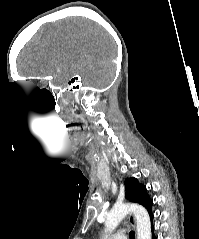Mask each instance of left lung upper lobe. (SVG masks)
<instances>
[{"instance_id":"5c2ea615","label":"left lung upper lobe","mask_w":199,"mask_h":239,"mask_svg":"<svg viewBox=\"0 0 199 239\" xmlns=\"http://www.w3.org/2000/svg\"><path fill=\"white\" fill-rule=\"evenodd\" d=\"M125 189L126 198L129 201L143 205L150 214L152 213L153 202L147 194L145 186L140 184L136 178H127Z\"/></svg>"}]
</instances>
